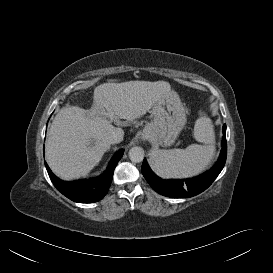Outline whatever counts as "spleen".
I'll return each mask as SVG.
<instances>
[{
  "instance_id": "spleen-1",
  "label": "spleen",
  "mask_w": 273,
  "mask_h": 273,
  "mask_svg": "<svg viewBox=\"0 0 273 273\" xmlns=\"http://www.w3.org/2000/svg\"><path fill=\"white\" fill-rule=\"evenodd\" d=\"M194 137L204 145L191 144L186 149L157 150L150 160L156 173L164 177H189L203 171L215 152V134L211 119L202 116L194 126Z\"/></svg>"
}]
</instances>
